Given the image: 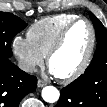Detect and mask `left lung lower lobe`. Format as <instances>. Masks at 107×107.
I'll return each mask as SVG.
<instances>
[{
  "instance_id": "1",
  "label": "left lung lower lobe",
  "mask_w": 107,
  "mask_h": 107,
  "mask_svg": "<svg viewBox=\"0 0 107 107\" xmlns=\"http://www.w3.org/2000/svg\"><path fill=\"white\" fill-rule=\"evenodd\" d=\"M106 59V54L99 50L90 84L87 86L73 81L61 90L55 107H107Z\"/></svg>"
}]
</instances>
